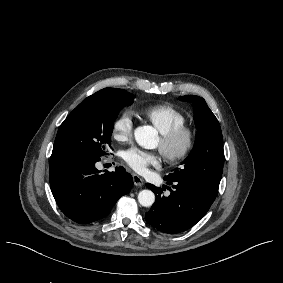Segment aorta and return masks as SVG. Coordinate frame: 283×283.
Listing matches in <instances>:
<instances>
[{"label": "aorta", "instance_id": "1", "mask_svg": "<svg viewBox=\"0 0 283 283\" xmlns=\"http://www.w3.org/2000/svg\"><path fill=\"white\" fill-rule=\"evenodd\" d=\"M134 136L140 146L152 149L156 146L158 132L152 126H139L135 129ZM138 202L144 207H150L155 202V195L151 190H142L138 194Z\"/></svg>", "mask_w": 283, "mask_h": 283}]
</instances>
